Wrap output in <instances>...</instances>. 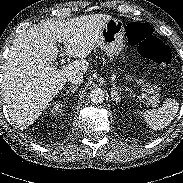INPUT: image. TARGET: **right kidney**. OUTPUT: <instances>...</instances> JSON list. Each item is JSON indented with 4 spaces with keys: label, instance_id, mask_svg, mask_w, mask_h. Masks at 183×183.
<instances>
[{
    "label": "right kidney",
    "instance_id": "ca27d5eb",
    "mask_svg": "<svg viewBox=\"0 0 183 183\" xmlns=\"http://www.w3.org/2000/svg\"><path fill=\"white\" fill-rule=\"evenodd\" d=\"M61 108H62V103L57 102V103L54 104V107L52 109V112H58V111L61 110Z\"/></svg>",
    "mask_w": 183,
    "mask_h": 183
}]
</instances>
